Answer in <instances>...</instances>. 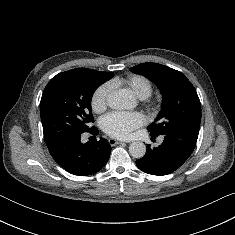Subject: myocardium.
Segmentation results:
<instances>
[{"label": "myocardium", "mask_w": 235, "mask_h": 235, "mask_svg": "<svg viewBox=\"0 0 235 235\" xmlns=\"http://www.w3.org/2000/svg\"><path fill=\"white\" fill-rule=\"evenodd\" d=\"M144 102H146L148 105H151L150 103V101L148 100V97L147 98H145V99H142Z\"/></svg>", "instance_id": "obj_1"}]
</instances>
